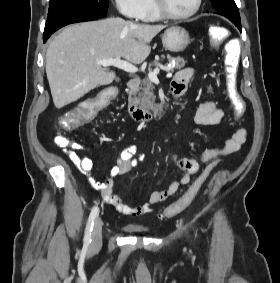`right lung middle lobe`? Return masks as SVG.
<instances>
[{"label": "right lung middle lobe", "mask_w": 280, "mask_h": 283, "mask_svg": "<svg viewBox=\"0 0 280 283\" xmlns=\"http://www.w3.org/2000/svg\"><path fill=\"white\" fill-rule=\"evenodd\" d=\"M108 6V0H50L46 23L67 17L102 18Z\"/></svg>", "instance_id": "right-lung-middle-lobe-1"}]
</instances>
